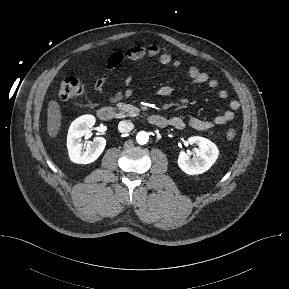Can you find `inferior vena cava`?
Listing matches in <instances>:
<instances>
[{
	"label": "inferior vena cava",
	"mask_w": 289,
	"mask_h": 289,
	"mask_svg": "<svg viewBox=\"0 0 289 289\" xmlns=\"http://www.w3.org/2000/svg\"><path fill=\"white\" fill-rule=\"evenodd\" d=\"M133 128H134V125L130 121L123 120V121H120L118 124V130L121 133H128L132 131Z\"/></svg>",
	"instance_id": "602c4592"
}]
</instances>
